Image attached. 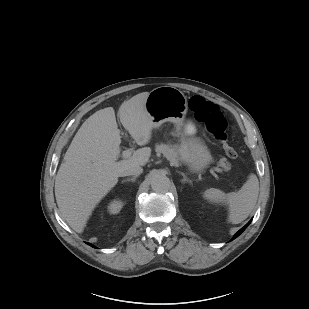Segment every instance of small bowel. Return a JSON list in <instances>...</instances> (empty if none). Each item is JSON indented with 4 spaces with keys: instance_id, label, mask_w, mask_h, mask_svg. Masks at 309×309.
<instances>
[{
    "instance_id": "small-bowel-1",
    "label": "small bowel",
    "mask_w": 309,
    "mask_h": 309,
    "mask_svg": "<svg viewBox=\"0 0 309 309\" xmlns=\"http://www.w3.org/2000/svg\"><path fill=\"white\" fill-rule=\"evenodd\" d=\"M187 129H188L189 132H192L194 127H193L192 124H188Z\"/></svg>"
}]
</instances>
